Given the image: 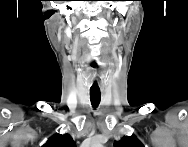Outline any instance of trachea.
<instances>
[{"label":"trachea","mask_w":188,"mask_h":147,"mask_svg":"<svg viewBox=\"0 0 188 147\" xmlns=\"http://www.w3.org/2000/svg\"><path fill=\"white\" fill-rule=\"evenodd\" d=\"M101 100V94L100 93H90V101L93 106V108H96Z\"/></svg>","instance_id":"trachea-1"}]
</instances>
